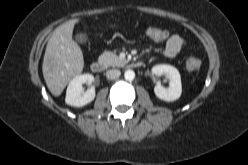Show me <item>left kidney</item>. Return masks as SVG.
<instances>
[{
    "label": "left kidney",
    "mask_w": 248,
    "mask_h": 165,
    "mask_svg": "<svg viewBox=\"0 0 248 165\" xmlns=\"http://www.w3.org/2000/svg\"><path fill=\"white\" fill-rule=\"evenodd\" d=\"M152 74H164L169 79V86L167 88L161 86L159 83L154 87V93L159 99L172 102L181 96V77L179 71L175 67L167 64L156 65L152 68Z\"/></svg>",
    "instance_id": "5707ae66"
}]
</instances>
